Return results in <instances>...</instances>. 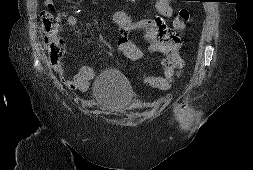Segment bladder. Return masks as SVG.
Masks as SVG:
<instances>
[{
  "label": "bladder",
  "mask_w": 253,
  "mask_h": 170,
  "mask_svg": "<svg viewBox=\"0 0 253 170\" xmlns=\"http://www.w3.org/2000/svg\"><path fill=\"white\" fill-rule=\"evenodd\" d=\"M95 106L111 115H122L129 110L134 90L126 76L116 69L104 70L93 83Z\"/></svg>",
  "instance_id": "obj_1"
}]
</instances>
